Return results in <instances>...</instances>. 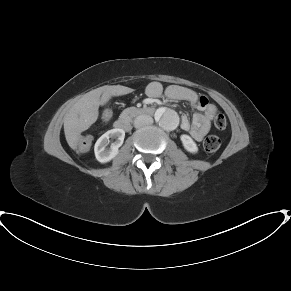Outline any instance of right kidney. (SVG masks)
Returning <instances> with one entry per match:
<instances>
[{"instance_id":"1","label":"right kidney","mask_w":291,"mask_h":291,"mask_svg":"<svg viewBox=\"0 0 291 291\" xmlns=\"http://www.w3.org/2000/svg\"><path fill=\"white\" fill-rule=\"evenodd\" d=\"M125 131L115 128L104 133L95 143L94 152L96 159L101 163L112 160L119 151V147L123 144ZM111 142V145L109 143Z\"/></svg>"}]
</instances>
